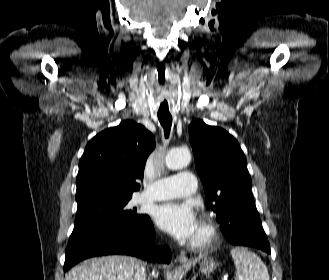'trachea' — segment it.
<instances>
[{"mask_svg":"<svg viewBox=\"0 0 329 280\" xmlns=\"http://www.w3.org/2000/svg\"><path fill=\"white\" fill-rule=\"evenodd\" d=\"M158 119L164 129L165 138H168L172 126V116L170 114L158 113Z\"/></svg>","mask_w":329,"mask_h":280,"instance_id":"3493384b","label":"trachea"}]
</instances>
